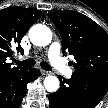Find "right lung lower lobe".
Segmentation results:
<instances>
[{"instance_id": "1", "label": "right lung lower lobe", "mask_w": 108, "mask_h": 108, "mask_svg": "<svg viewBox=\"0 0 108 108\" xmlns=\"http://www.w3.org/2000/svg\"><path fill=\"white\" fill-rule=\"evenodd\" d=\"M39 75L38 69L27 68L17 75L0 78V108H18L27 93V84Z\"/></svg>"}]
</instances>
